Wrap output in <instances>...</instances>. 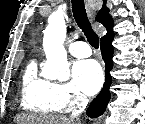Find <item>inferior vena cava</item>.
<instances>
[{
    "mask_svg": "<svg viewBox=\"0 0 145 124\" xmlns=\"http://www.w3.org/2000/svg\"><path fill=\"white\" fill-rule=\"evenodd\" d=\"M87 103H88L87 100H83V101L81 102V106H82V107H85V106L87 105ZM78 116H79V115L76 113V114H73V115H72V118H75V117L77 118Z\"/></svg>",
    "mask_w": 145,
    "mask_h": 124,
    "instance_id": "602c4592",
    "label": "inferior vena cava"
}]
</instances>
